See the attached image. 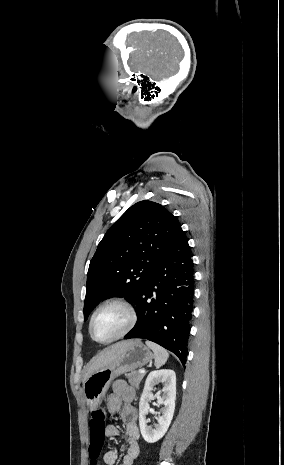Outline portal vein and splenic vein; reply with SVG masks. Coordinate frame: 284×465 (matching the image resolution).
Returning a JSON list of instances; mask_svg holds the SVG:
<instances>
[{
    "mask_svg": "<svg viewBox=\"0 0 284 465\" xmlns=\"http://www.w3.org/2000/svg\"><path fill=\"white\" fill-rule=\"evenodd\" d=\"M138 373H145V371H143V369H139Z\"/></svg>",
    "mask_w": 284,
    "mask_h": 465,
    "instance_id": "1",
    "label": "portal vein and splenic vein"
}]
</instances>
